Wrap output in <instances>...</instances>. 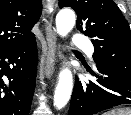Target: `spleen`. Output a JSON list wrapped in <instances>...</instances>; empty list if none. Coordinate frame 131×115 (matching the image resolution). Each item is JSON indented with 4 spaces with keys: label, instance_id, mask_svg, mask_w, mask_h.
Returning a JSON list of instances; mask_svg holds the SVG:
<instances>
[{
    "label": "spleen",
    "instance_id": "obj_1",
    "mask_svg": "<svg viewBox=\"0 0 131 115\" xmlns=\"http://www.w3.org/2000/svg\"><path fill=\"white\" fill-rule=\"evenodd\" d=\"M104 115H131V110L115 109L105 113Z\"/></svg>",
    "mask_w": 131,
    "mask_h": 115
}]
</instances>
